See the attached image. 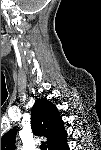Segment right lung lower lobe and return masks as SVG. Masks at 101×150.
Instances as JSON below:
<instances>
[{
    "mask_svg": "<svg viewBox=\"0 0 101 150\" xmlns=\"http://www.w3.org/2000/svg\"><path fill=\"white\" fill-rule=\"evenodd\" d=\"M68 145L67 142L63 144V146L60 147V150H67Z\"/></svg>",
    "mask_w": 101,
    "mask_h": 150,
    "instance_id": "1",
    "label": "right lung lower lobe"
}]
</instances>
